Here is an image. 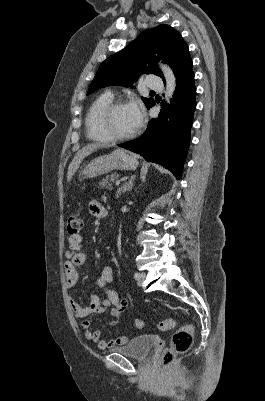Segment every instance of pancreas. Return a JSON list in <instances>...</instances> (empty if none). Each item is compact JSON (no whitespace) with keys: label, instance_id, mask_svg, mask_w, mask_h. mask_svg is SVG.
Here are the masks:
<instances>
[{"label":"pancreas","instance_id":"pancreas-1","mask_svg":"<svg viewBox=\"0 0 265 401\" xmlns=\"http://www.w3.org/2000/svg\"><path fill=\"white\" fill-rule=\"evenodd\" d=\"M118 176L119 174H117V172H112V174H107L105 178H102V180H100L99 182L100 188H109V190H111L112 182H114V180H116Z\"/></svg>","mask_w":265,"mask_h":401}]
</instances>
